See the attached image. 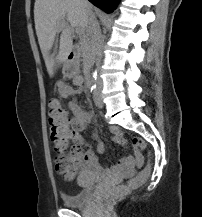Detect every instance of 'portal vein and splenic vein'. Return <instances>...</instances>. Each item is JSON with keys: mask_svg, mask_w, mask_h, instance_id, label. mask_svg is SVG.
Listing matches in <instances>:
<instances>
[{"mask_svg": "<svg viewBox=\"0 0 202 217\" xmlns=\"http://www.w3.org/2000/svg\"><path fill=\"white\" fill-rule=\"evenodd\" d=\"M65 25H66V23H65ZM76 32H77L79 35L83 33V31H81V30H79V29H76Z\"/></svg>", "mask_w": 202, "mask_h": 217, "instance_id": "obj_1", "label": "portal vein and splenic vein"}]
</instances>
